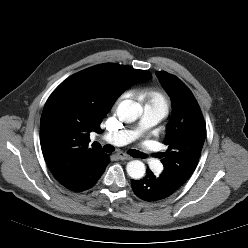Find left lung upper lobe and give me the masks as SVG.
Segmentation results:
<instances>
[{"label":"left lung upper lobe","instance_id":"1","mask_svg":"<svg viewBox=\"0 0 248 248\" xmlns=\"http://www.w3.org/2000/svg\"><path fill=\"white\" fill-rule=\"evenodd\" d=\"M172 99V117L166 126L168 150L161 162L160 177L174 191L191 177L206 138V125L200 107L189 88L176 76L165 71L156 73Z\"/></svg>","mask_w":248,"mask_h":248}]
</instances>
